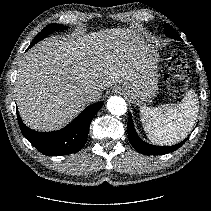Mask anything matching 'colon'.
Segmentation results:
<instances>
[{
  "mask_svg": "<svg viewBox=\"0 0 211 211\" xmlns=\"http://www.w3.org/2000/svg\"><path fill=\"white\" fill-rule=\"evenodd\" d=\"M168 70L164 77L171 94L182 95L188 87L189 77L186 71L187 60L181 50H175L168 59Z\"/></svg>",
  "mask_w": 211,
  "mask_h": 211,
  "instance_id": "5ec220e1",
  "label": "colon"
}]
</instances>
